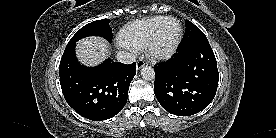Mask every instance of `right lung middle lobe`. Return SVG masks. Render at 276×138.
Instances as JSON below:
<instances>
[{
    "mask_svg": "<svg viewBox=\"0 0 276 138\" xmlns=\"http://www.w3.org/2000/svg\"><path fill=\"white\" fill-rule=\"evenodd\" d=\"M109 22V19H104L85 25L75 33L68 44L76 43L78 40L87 36H101L108 41H111L113 35Z\"/></svg>",
    "mask_w": 276,
    "mask_h": 138,
    "instance_id": "right-lung-middle-lobe-1",
    "label": "right lung middle lobe"
}]
</instances>
